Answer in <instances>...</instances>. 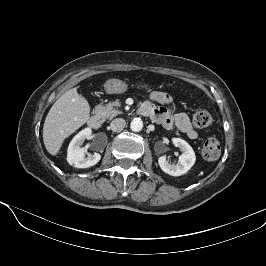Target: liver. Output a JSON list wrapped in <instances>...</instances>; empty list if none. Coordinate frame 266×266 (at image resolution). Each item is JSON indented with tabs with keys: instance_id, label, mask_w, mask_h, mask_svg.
Returning <instances> with one entry per match:
<instances>
[{
	"instance_id": "liver-1",
	"label": "liver",
	"mask_w": 266,
	"mask_h": 266,
	"mask_svg": "<svg viewBox=\"0 0 266 266\" xmlns=\"http://www.w3.org/2000/svg\"><path fill=\"white\" fill-rule=\"evenodd\" d=\"M90 117L88 101L77 87L66 91L51 107L43 126V142L51 155H56L63 141L84 125Z\"/></svg>"
}]
</instances>
